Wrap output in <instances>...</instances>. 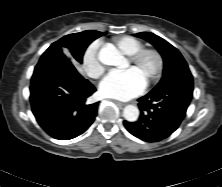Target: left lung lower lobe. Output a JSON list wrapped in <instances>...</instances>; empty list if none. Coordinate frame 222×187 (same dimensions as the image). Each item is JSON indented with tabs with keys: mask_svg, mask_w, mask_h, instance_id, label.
<instances>
[{
	"mask_svg": "<svg viewBox=\"0 0 222 187\" xmlns=\"http://www.w3.org/2000/svg\"><path fill=\"white\" fill-rule=\"evenodd\" d=\"M183 89L174 96L163 92L152 93L138 99L140 118L136 122L124 121L126 129L146 142H158L170 136L186 115L193 96V79H184Z\"/></svg>",
	"mask_w": 222,
	"mask_h": 187,
	"instance_id": "left-lung-lower-lobe-1",
	"label": "left lung lower lobe"
}]
</instances>
